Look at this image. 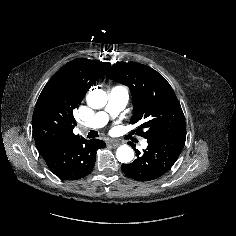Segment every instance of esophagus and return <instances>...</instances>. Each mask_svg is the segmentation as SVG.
<instances>
[{
	"mask_svg": "<svg viewBox=\"0 0 236 236\" xmlns=\"http://www.w3.org/2000/svg\"><path fill=\"white\" fill-rule=\"evenodd\" d=\"M108 144L112 145L113 147H117L119 145V142L115 140H110L108 141Z\"/></svg>",
	"mask_w": 236,
	"mask_h": 236,
	"instance_id": "34e87169",
	"label": "esophagus"
}]
</instances>
